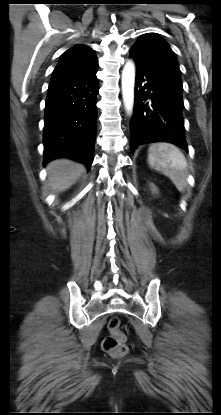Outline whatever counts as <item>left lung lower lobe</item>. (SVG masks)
Instances as JSON below:
<instances>
[{
  "instance_id": "left-lung-lower-lobe-1",
  "label": "left lung lower lobe",
  "mask_w": 221,
  "mask_h": 415,
  "mask_svg": "<svg viewBox=\"0 0 221 415\" xmlns=\"http://www.w3.org/2000/svg\"><path fill=\"white\" fill-rule=\"evenodd\" d=\"M182 87L136 64L135 101L130 126L131 150L151 142H169L188 150Z\"/></svg>"
}]
</instances>
